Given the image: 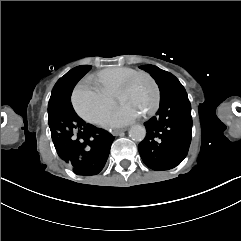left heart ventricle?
<instances>
[{
	"label": "left heart ventricle",
	"mask_w": 241,
	"mask_h": 241,
	"mask_svg": "<svg viewBox=\"0 0 241 241\" xmlns=\"http://www.w3.org/2000/svg\"><path fill=\"white\" fill-rule=\"evenodd\" d=\"M155 90L147 78L139 75L138 79L125 89V98L122 99L123 106L143 113L153 105L156 96Z\"/></svg>",
	"instance_id": "1"
}]
</instances>
